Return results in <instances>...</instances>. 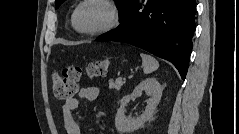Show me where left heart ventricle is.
<instances>
[{"label":"left heart ventricle","mask_w":239,"mask_h":134,"mask_svg":"<svg viewBox=\"0 0 239 134\" xmlns=\"http://www.w3.org/2000/svg\"><path fill=\"white\" fill-rule=\"evenodd\" d=\"M108 20V10L100 4L91 3L80 9L76 23L81 30L92 31L103 27Z\"/></svg>","instance_id":"1"}]
</instances>
